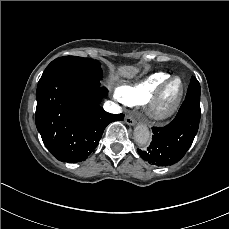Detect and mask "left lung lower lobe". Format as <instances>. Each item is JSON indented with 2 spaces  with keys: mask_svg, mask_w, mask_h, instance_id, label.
Here are the masks:
<instances>
[{
  "mask_svg": "<svg viewBox=\"0 0 229 229\" xmlns=\"http://www.w3.org/2000/svg\"><path fill=\"white\" fill-rule=\"evenodd\" d=\"M200 116V84L192 76L178 114L170 124L152 128L154 135L148 149H137L141 158L156 166H168L178 162L192 145Z\"/></svg>",
  "mask_w": 229,
  "mask_h": 229,
  "instance_id": "0a47b994",
  "label": "left lung lower lobe"
}]
</instances>
